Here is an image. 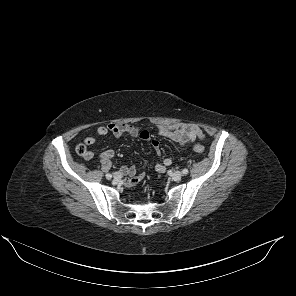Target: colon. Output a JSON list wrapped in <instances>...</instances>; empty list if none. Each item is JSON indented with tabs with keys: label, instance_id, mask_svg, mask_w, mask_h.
I'll return each instance as SVG.
<instances>
[{
	"label": "colon",
	"instance_id": "colon-1",
	"mask_svg": "<svg viewBox=\"0 0 296 296\" xmlns=\"http://www.w3.org/2000/svg\"><path fill=\"white\" fill-rule=\"evenodd\" d=\"M194 150L200 154L204 153L205 151L204 147L201 144H195ZM77 153L84 157V156H88L90 152L87 150V148L84 145H79L77 147Z\"/></svg>",
	"mask_w": 296,
	"mask_h": 296
}]
</instances>
